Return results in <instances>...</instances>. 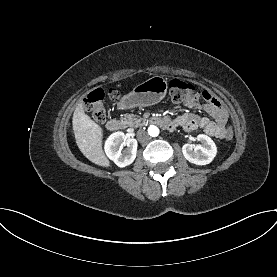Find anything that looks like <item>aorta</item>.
<instances>
[{"mask_svg":"<svg viewBox=\"0 0 277 277\" xmlns=\"http://www.w3.org/2000/svg\"><path fill=\"white\" fill-rule=\"evenodd\" d=\"M148 133L150 136L152 137H156L159 135V128L154 126V125H151L149 128H148Z\"/></svg>","mask_w":277,"mask_h":277,"instance_id":"obj_1","label":"aorta"}]
</instances>
